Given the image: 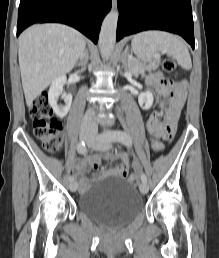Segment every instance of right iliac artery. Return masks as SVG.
<instances>
[{
    "label": "right iliac artery",
    "mask_w": 219,
    "mask_h": 258,
    "mask_svg": "<svg viewBox=\"0 0 219 258\" xmlns=\"http://www.w3.org/2000/svg\"><path fill=\"white\" fill-rule=\"evenodd\" d=\"M77 151L81 155H84V154L87 153V148H86V145H85V143L83 141L77 144ZM69 181L70 182L74 181V177L70 176L69 177Z\"/></svg>",
    "instance_id": "obj_1"
}]
</instances>
